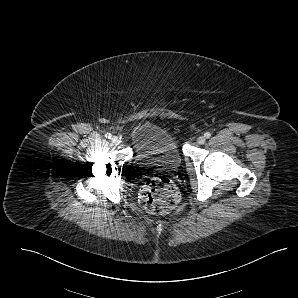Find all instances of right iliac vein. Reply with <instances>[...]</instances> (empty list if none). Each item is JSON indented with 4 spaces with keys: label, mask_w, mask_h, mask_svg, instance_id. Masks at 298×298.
Masks as SVG:
<instances>
[{
    "label": "right iliac vein",
    "mask_w": 298,
    "mask_h": 298,
    "mask_svg": "<svg viewBox=\"0 0 298 298\" xmlns=\"http://www.w3.org/2000/svg\"><path fill=\"white\" fill-rule=\"evenodd\" d=\"M112 142L116 145L120 144V139L116 136L112 137Z\"/></svg>",
    "instance_id": "63e3f726"
}]
</instances>
